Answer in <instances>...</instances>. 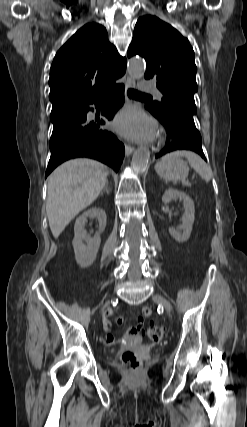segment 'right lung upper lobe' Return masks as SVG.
Returning a JSON list of instances; mask_svg holds the SVG:
<instances>
[{
  "label": "right lung upper lobe",
  "mask_w": 247,
  "mask_h": 427,
  "mask_svg": "<svg viewBox=\"0 0 247 427\" xmlns=\"http://www.w3.org/2000/svg\"><path fill=\"white\" fill-rule=\"evenodd\" d=\"M126 71V59L109 42L106 29L88 23L56 53L50 69L52 109L104 96Z\"/></svg>",
  "instance_id": "obj_1"
}]
</instances>
